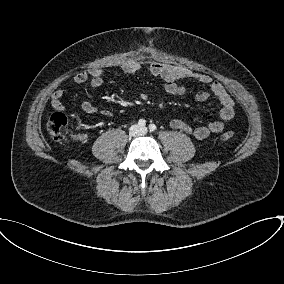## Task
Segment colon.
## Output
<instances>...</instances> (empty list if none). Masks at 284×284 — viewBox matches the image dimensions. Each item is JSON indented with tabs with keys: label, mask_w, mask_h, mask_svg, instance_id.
<instances>
[{
	"label": "colon",
	"mask_w": 284,
	"mask_h": 284,
	"mask_svg": "<svg viewBox=\"0 0 284 284\" xmlns=\"http://www.w3.org/2000/svg\"><path fill=\"white\" fill-rule=\"evenodd\" d=\"M47 130L55 140L65 139L68 134L67 117L60 112L52 114L47 122ZM233 136H234L233 132L227 131L222 134L221 139L227 141L232 139ZM72 139L77 140L78 136H72Z\"/></svg>",
	"instance_id": "5ec220e1"
}]
</instances>
